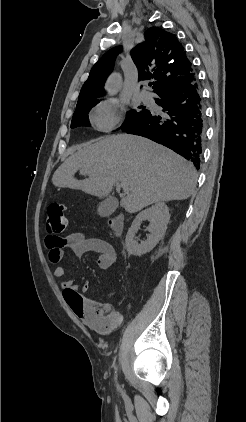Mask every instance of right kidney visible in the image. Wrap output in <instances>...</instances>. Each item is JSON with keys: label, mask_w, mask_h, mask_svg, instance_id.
<instances>
[{"label": "right kidney", "mask_w": 246, "mask_h": 422, "mask_svg": "<svg viewBox=\"0 0 246 422\" xmlns=\"http://www.w3.org/2000/svg\"><path fill=\"white\" fill-rule=\"evenodd\" d=\"M145 220L149 221L148 231L151 234L146 241L139 244L135 240V235L138 232L141 223ZM169 220V208L164 202H158L150 208L140 212L126 235V248L128 252L134 256H142L151 251L165 234Z\"/></svg>", "instance_id": "1"}]
</instances>
